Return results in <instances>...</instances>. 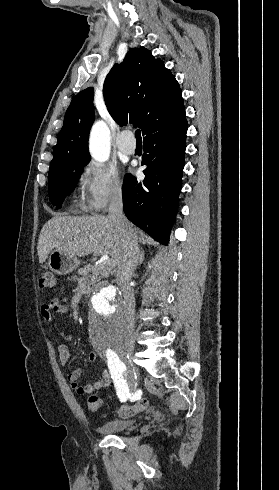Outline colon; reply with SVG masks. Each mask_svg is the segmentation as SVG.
I'll use <instances>...</instances> for the list:
<instances>
[{
  "label": "colon",
  "mask_w": 279,
  "mask_h": 490,
  "mask_svg": "<svg viewBox=\"0 0 279 490\" xmlns=\"http://www.w3.org/2000/svg\"><path fill=\"white\" fill-rule=\"evenodd\" d=\"M40 285L43 288L53 289L56 286V275L50 270H46L40 277ZM103 400L98 395H92L87 402L90 412L99 413L101 411ZM148 407V399H141L136 403L125 404L116 407L115 414L120 418L134 416Z\"/></svg>",
  "instance_id": "colon-1"
}]
</instances>
